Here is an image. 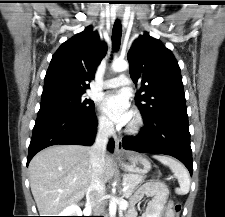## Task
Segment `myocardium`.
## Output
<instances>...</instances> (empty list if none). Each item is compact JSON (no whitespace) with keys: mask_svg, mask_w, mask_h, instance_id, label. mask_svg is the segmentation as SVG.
I'll return each mask as SVG.
<instances>
[{"mask_svg":"<svg viewBox=\"0 0 225 217\" xmlns=\"http://www.w3.org/2000/svg\"><path fill=\"white\" fill-rule=\"evenodd\" d=\"M143 126V118L137 111L133 112L131 121L129 122L126 132L129 134H137Z\"/></svg>","mask_w":225,"mask_h":217,"instance_id":"f54148a6","label":"myocardium"}]
</instances>
